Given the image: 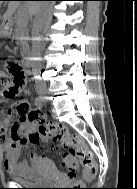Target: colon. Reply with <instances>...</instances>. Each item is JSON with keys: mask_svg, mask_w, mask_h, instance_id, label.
<instances>
[{"mask_svg": "<svg viewBox=\"0 0 137 189\" xmlns=\"http://www.w3.org/2000/svg\"><path fill=\"white\" fill-rule=\"evenodd\" d=\"M25 78L24 70L16 63H8L5 70L0 69V97L13 98L19 91ZM30 123L25 128L16 121L11 126V134L15 140L29 143H49L62 155V169L69 178H75L78 163L84 168L87 179L95 177L97 165L93 154L78 135H70L67 127L62 124L47 122L40 109L25 106L20 109Z\"/></svg>", "mask_w": 137, "mask_h": 189, "instance_id": "obj_1", "label": "colon"}]
</instances>
